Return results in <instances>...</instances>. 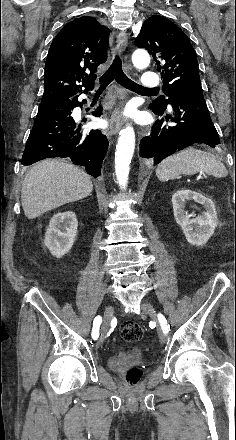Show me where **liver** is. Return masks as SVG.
Returning a JSON list of instances; mask_svg holds the SVG:
<instances>
[{
	"instance_id": "1",
	"label": "liver",
	"mask_w": 236,
	"mask_h": 440,
	"mask_svg": "<svg viewBox=\"0 0 236 440\" xmlns=\"http://www.w3.org/2000/svg\"><path fill=\"white\" fill-rule=\"evenodd\" d=\"M93 191L90 177L71 164L46 160L25 176L21 203L25 216L35 219L47 211L81 200Z\"/></svg>"
}]
</instances>
